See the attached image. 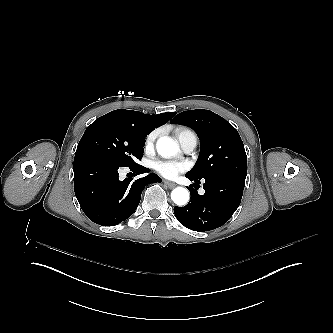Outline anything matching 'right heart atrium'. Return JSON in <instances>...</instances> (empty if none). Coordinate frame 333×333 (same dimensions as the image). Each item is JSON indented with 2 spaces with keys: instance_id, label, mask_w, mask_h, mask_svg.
I'll use <instances>...</instances> for the list:
<instances>
[{
  "instance_id": "1",
  "label": "right heart atrium",
  "mask_w": 333,
  "mask_h": 333,
  "mask_svg": "<svg viewBox=\"0 0 333 333\" xmlns=\"http://www.w3.org/2000/svg\"><path fill=\"white\" fill-rule=\"evenodd\" d=\"M154 140H155L154 135L148 136L147 139H146V143H145L146 147H148V148L152 147L153 143H154Z\"/></svg>"
}]
</instances>
